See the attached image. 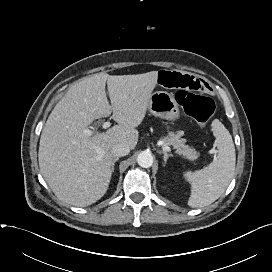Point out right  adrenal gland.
I'll list each match as a JSON object with an SVG mask.
<instances>
[{
	"label": "right adrenal gland",
	"mask_w": 272,
	"mask_h": 272,
	"mask_svg": "<svg viewBox=\"0 0 272 272\" xmlns=\"http://www.w3.org/2000/svg\"><path fill=\"white\" fill-rule=\"evenodd\" d=\"M119 160V158H114L112 160V164H111V172L113 173L114 172V169H115V163Z\"/></svg>",
	"instance_id": "2a0ac1e0"
}]
</instances>
